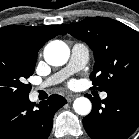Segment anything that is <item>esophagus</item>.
Returning <instances> with one entry per match:
<instances>
[{"instance_id": "1", "label": "esophagus", "mask_w": 139, "mask_h": 139, "mask_svg": "<svg viewBox=\"0 0 139 139\" xmlns=\"http://www.w3.org/2000/svg\"><path fill=\"white\" fill-rule=\"evenodd\" d=\"M75 98H76V95H73V94H68L66 96V99H67L68 102L73 101Z\"/></svg>"}]
</instances>
